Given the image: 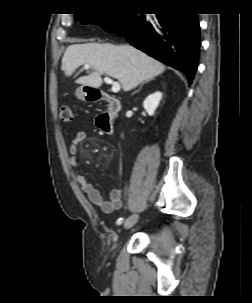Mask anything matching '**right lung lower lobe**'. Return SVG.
<instances>
[{
    "mask_svg": "<svg viewBox=\"0 0 252 303\" xmlns=\"http://www.w3.org/2000/svg\"><path fill=\"white\" fill-rule=\"evenodd\" d=\"M104 29L124 36L134 47L184 72L192 82L200 49L196 14L168 10L147 19L144 14L132 13Z\"/></svg>",
    "mask_w": 252,
    "mask_h": 303,
    "instance_id": "98d812e1",
    "label": "right lung lower lobe"
}]
</instances>
